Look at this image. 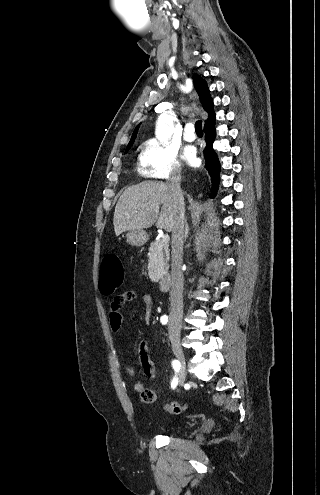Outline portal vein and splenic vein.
<instances>
[{
	"mask_svg": "<svg viewBox=\"0 0 320 495\" xmlns=\"http://www.w3.org/2000/svg\"><path fill=\"white\" fill-rule=\"evenodd\" d=\"M169 239H170V238H169V235H168V234L163 235V237H162V243H163L164 245H168V243H169Z\"/></svg>",
	"mask_w": 320,
	"mask_h": 495,
	"instance_id": "18ae733b",
	"label": "portal vein and splenic vein"
}]
</instances>
